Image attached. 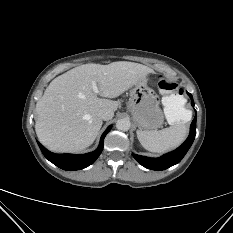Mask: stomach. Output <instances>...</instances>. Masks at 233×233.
Returning <instances> with one entry per match:
<instances>
[{
	"label": "stomach",
	"instance_id": "obj_1",
	"mask_svg": "<svg viewBox=\"0 0 233 233\" xmlns=\"http://www.w3.org/2000/svg\"><path fill=\"white\" fill-rule=\"evenodd\" d=\"M136 125L141 130H153L162 126L164 115L159 107V101L153 89L148 85V79L142 78L133 85L127 104Z\"/></svg>",
	"mask_w": 233,
	"mask_h": 233
}]
</instances>
